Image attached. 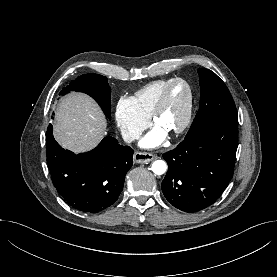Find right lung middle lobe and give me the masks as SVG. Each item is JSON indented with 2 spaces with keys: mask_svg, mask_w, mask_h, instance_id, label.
Instances as JSON below:
<instances>
[{
  "mask_svg": "<svg viewBox=\"0 0 277 277\" xmlns=\"http://www.w3.org/2000/svg\"><path fill=\"white\" fill-rule=\"evenodd\" d=\"M81 91L90 95L102 108L104 114L111 118V88L107 78L98 74H85L71 81L70 85L63 88L60 94L64 95L70 91Z\"/></svg>",
  "mask_w": 277,
  "mask_h": 277,
  "instance_id": "obj_1",
  "label": "right lung middle lobe"
}]
</instances>
